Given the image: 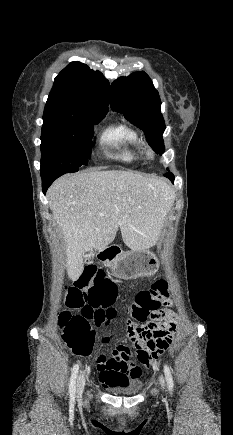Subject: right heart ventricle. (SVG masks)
Segmentation results:
<instances>
[{"instance_id":"e07e8e85","label":"right heart ventricle","mask_w":233,"mask_h":435,"mask_svg":"<svg viewBox=\"0 0 233 435\" xmlns=\"http://www.w3.org/2000/svg\"><path fill=\"white\" fill-rule=\"evenodd\" d=\"M102 141L114 148V158L126 163L137 162L143 155V147L136 131L124 124L119 123L108 127Z\"/></svg>"}]
</instances>
